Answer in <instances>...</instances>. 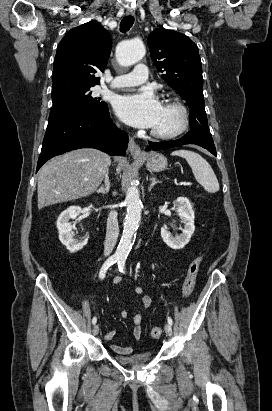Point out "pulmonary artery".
Returning a JSON list of instances; mask_svg holds the SVG:
<instances>
[{"label":"pulmonary artery","mask_w":272,"mask_h":411,"mask_svg":"<svg viewBox=\"0 0 272 411\" xmlns=\"http://www.w3.org/2000/svg\"><path fill=\"white\" fill-rule=\"evenodd\" d=\"M148 79V69L144 64H137L134 71L114 78L112 87H132L146 82Z\"/></svg>","instance_id":"1"}]
</instances>
